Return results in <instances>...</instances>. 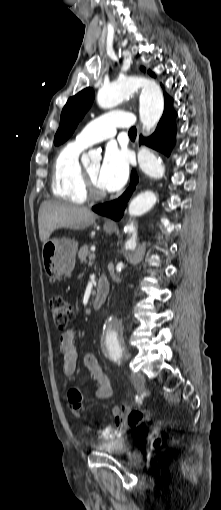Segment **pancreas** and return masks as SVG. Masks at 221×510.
<instances>
[{"label": "pancreas", "mask_w": 221, "mask_h": 510, "mask_svg": "<svg viewBox=\"0 0 221 510\" xmlns=\"http://www.w3.org/2000/svg\"><path fill=\"white\" fill-rule=\"evenodd\" d=\"M90 255L91 253L89 247L87 245H84L83 247L80 248L78 252V259L80 260L81 263L86 262L87 257H89Z\"/></svg>", "instance_id": "obj_1"}]
</instances>
